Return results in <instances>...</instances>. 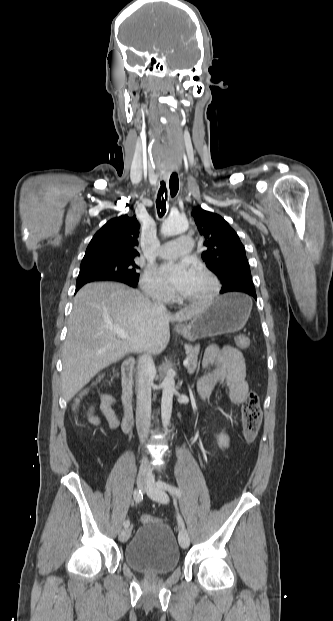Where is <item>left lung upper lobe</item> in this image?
<instances>
[{"mask_svg":"<svg viewBox=\"0 0 333 621\" xmlns=\"http://www.w3.org/2000/svg\"><path fill=\"white\" fill-rule=\"evenodd\" d=\"M192 216L204 237L203 261L221 281L224 292L235 287H254L245 248L237 233L218 214L194 208Z\"/></svg>","mask_w":333,"mask_h":621,"instance_id":"left-lung-upper-lobe-1","label":"left lung upper lobe"}]
</instances>
